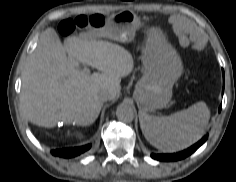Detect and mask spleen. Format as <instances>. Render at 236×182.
Here are the masks:
<instances>
[{"label": "spleen", "instance_id": "spleen-1", "mask_svg": "<svg viewBox=\"0 0 236 182\" xmlns=\"http://www.w3.org/2000/svg\"><path fill=\"white\" fill-rule=\"evenodd\" d=\"M210 110L205 102L164 117L139 112L141 130L147 141L165 152L183 150L197 142L205 132Z\"/></svg>", "mask_w": 236, "mask_h": 182}]
</instances>
